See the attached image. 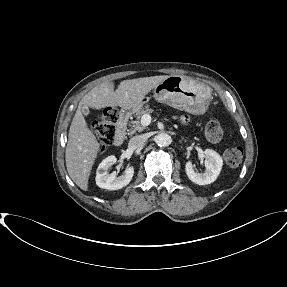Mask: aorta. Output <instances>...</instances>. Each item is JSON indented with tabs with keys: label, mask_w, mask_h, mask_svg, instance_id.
<instances>
[{
	"label": "aorta",
	"mask_w": 287,
	"mask_h": 287,
	"mask_svg": "<svg viewBox=\"0 0 287 287\" xmlns=\"http://www.w3.org/2000/svg\"><path fill=\"white\" fill-rule=\"evenodd\" d=\"M155 142L160 147H167L171 144V136L167 133H160L155 137Z\"/></svg>",
	"instance_id": "762f6f07"
}]
</instances>
